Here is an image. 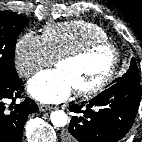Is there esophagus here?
Here are the masks:
<instances>
[{
    "label": "esophagus",
    "mask_w": 142,
    "mask_h": 142,
    "mask_svg": "<svg viewBox=\"0 0 142 142\" xmlns=\"http://www.w3.org/2000/svg\"><path fill=\"white\" fill-rule=\"evenodd\" d=\"M53 109H54V107L47 106V105H40L39 106L40 112L50 111V110H53Z\"/></svg>",
    "instance_id": "obj_1"
}]
</instances>
